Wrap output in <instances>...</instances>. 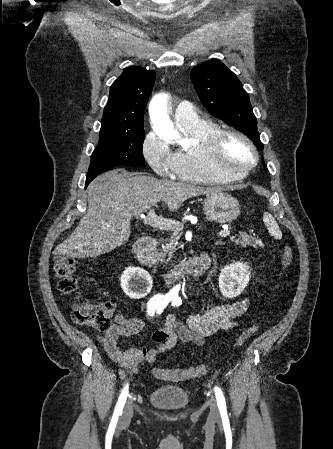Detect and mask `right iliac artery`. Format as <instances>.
<instances>
[{"label":"right iliac artery","mask_w":333,"mask_h":449,"mask_svg":"<svg viewBox=\"0 0 333 449\" xmlns=\"http://www.w3.org/2000/svg\"><path fill=\"white\" fill-rule=\"evenodd\" d=\"M170 301H171V298L169 296L163 297L160 294L155 295L147 303L148 314L150 316H153L155 311H157V313H161ZM127 396H128V385H126L124 387V389L122 390V393L119 396V399L116 404L114 414H113V417L111 420V425H116L118 417L122 414V410H123L124 404L126 402Z\"/></svg>","instance_id":"right-iliac-artery-1"}]
</instances>
